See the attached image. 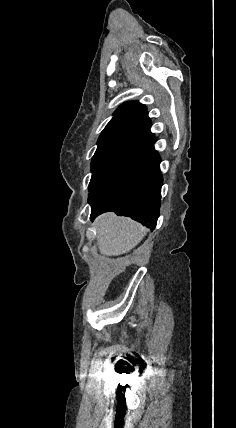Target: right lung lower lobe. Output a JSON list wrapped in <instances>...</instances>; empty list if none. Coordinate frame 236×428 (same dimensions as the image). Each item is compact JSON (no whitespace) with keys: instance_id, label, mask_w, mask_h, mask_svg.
<instances>
[{"instance_id":"1","label":"right lung lower lobe","mask_w":236,"mask_h":428,"mask_svg":"<svg viewBox=\"0 0 236 428\" xmlns=\"http://www.w3.org/2000/svg\"><path fill=\"white\" fill-rule=\"evenodd\" d=\"M155 137L145 143V149L125 175L101 198L91 204V220L114 211L129 216L154 229L159 217L162 175L160 157L154 150Z\"/></svg>"}]
</instances>
